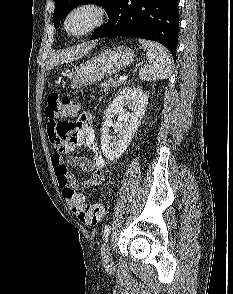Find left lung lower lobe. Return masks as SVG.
<instances>
[{
    "mask_svg": "<svg viewBox=\"0 0 233 294\" xmlns=\"http://www.w3.org/2000/svg\"><path fill=\"white\" fill-rule=\"evenodd\" d=\"M178 0H117L107 24L91 40L128 36L157 41L176 57L178 45Z\"/></svg>",
    "mask_w": 233,
    "mask_h": 294,
    "instance_id": "left-lung-lower-lobe-1",
    "label": "left lung lower lobe"
}]
</instances>
